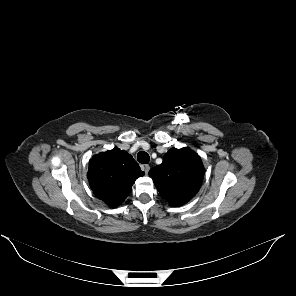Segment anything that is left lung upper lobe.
<instances>
[{"label": "left lung upper lobe", "mask_w": 296, "mask_h": 296, "mask_svg": "<svg viewBox=\"0 0 296 296\" xmlns=\"http://www.w3.org/2000/svg\"><path fill=\"white\" fill-rule=\"evenodd\" d=\"M204 173L200 156L189 148L170 149L162 164L149 171L159 193L172 206H181L194 197Z\"/></svg>", "instance_id": "5c2ea615"}]
</instances>
